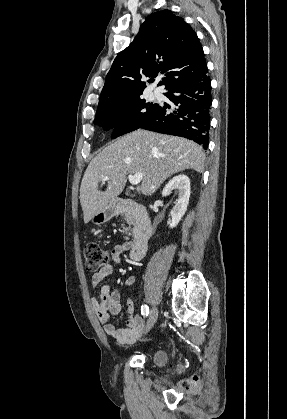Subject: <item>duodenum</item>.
Returning <instances> with one entry per match:
<instances>
[{
  "label": "duodenum",
  "mask_w": 287,
  "mask_h": 419,
  "mask_svg": "<svg viewBox=\"0 0 287 419\" xmlns=\"http://www.w3.org/2000/svg\"><path fill=\"white\" fill-rule=\"evenodd\" d=\"M115 213H130L135 220L134 242L130 251L132 260L141 259L146 251V246L152 236V220L147 209L140 203L131 199H115L113 201Z\"/></svg>",
  "instance_id": "obj_1"
}]
</instances>
